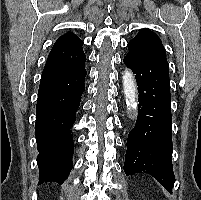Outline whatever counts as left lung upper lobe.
Wrapping results in <instances>:
<instances>
[{"label":"left lung upper lobe","instance_id":"left-lung-upper-lobe-1","mask_svg":"<svg viewBox=\"0 0 201 200\" xmlns=\"http://www.w3.org/2000/svg\"><path fill=\"white\" fill-rule=\"evenodd\" d=\"M127 55L143 61L166 59L164 46L160 38L149 29H141L128 43Z\"/></svg>","mask_w":201,"mask_h":200}]
</instances>
